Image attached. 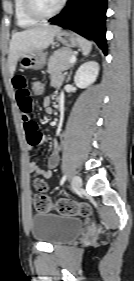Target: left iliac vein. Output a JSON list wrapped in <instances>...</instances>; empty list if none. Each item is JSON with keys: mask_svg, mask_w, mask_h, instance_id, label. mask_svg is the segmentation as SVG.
<instances>
[{"mask_svg": "<svg viewBox=\"0 0 134 281\" xmlns=\"http://www.w3.org/2000/svg\"><path fill=\"white\" fill-rule=\"evenodd\" d=\"M82 187V180L79 176H74L72 179V190L77 192Z\"/></svg>", "mask_w": 134, "mask_h": 281, "instance_id": "obj_1", "label": "left iliac vein"}]
</instances>
